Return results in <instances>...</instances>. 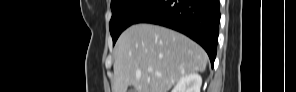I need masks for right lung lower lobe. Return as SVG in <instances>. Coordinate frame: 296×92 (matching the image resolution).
Wrapping results in <instances>:
<instances>
[{
	"mask_svg": "<svg viewBox=\"0 0 296 92\" xmlns=\"http://www.w3.org/2000/svg\"><path fill=\"white\" fill-rule=\"evenodd\" d=\"M219 22V0H157L134 24H158L187 35L205 49L213 66Z\"/></svg>",
	"mask_w": 296,
	"mask_h": 92,
	"instance_id": "98d812e1",
	"label": "right lung lower lobe"
}]
</instances>
